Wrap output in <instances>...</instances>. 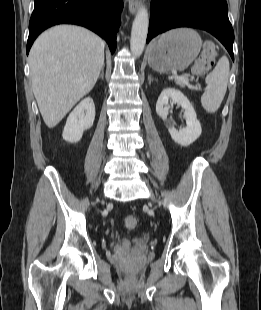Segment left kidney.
<instances>
[{"mask_svg": "<svg viewBox=\"0 0 261 310\" xmlns=\"http://www.w3.org/2000/svg\"><path fill=\"white\" fill-rule=\"evenodd\" d=\"M169 102L177 103L184 110V117L186 119V127L180 130L174 128L169 120H167L168 111H169ZM156 112L159 117H161L168 131L171 135L172 140L181 145L189 146L195 142L201 135L202 129L200 122L196 117V112L189 102L187 97L183 93L174 88L164 89L156 103Z\"/></svg>", "mask_w": 261, "mask_h": 310, "instance_id": "obj_1", "label": "left kidney"}]
</instances>
